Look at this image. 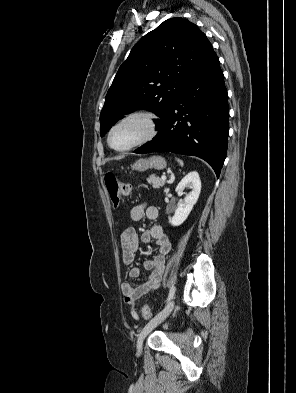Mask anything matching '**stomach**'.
Listing matches in <instances>:
<instances>
[{
  "mask_svg": "<svg viewBox=\"0 0 296 393\" xmlns=\"http://www.w3.org/2000/svg\"><path fill=\"white\" fill-rule=\"evenodd\" d=\"M167 163L165 159L161 156H152L148 159H139L137 160L132 168L137 171H146L147 169H157L161 170L166 167Z\"/></svg>",
  "mask_w": 296,
  "mask_h": 393,
  "instance_id": "0dacf381",
  "label": "stomach"
}]
</instances>
